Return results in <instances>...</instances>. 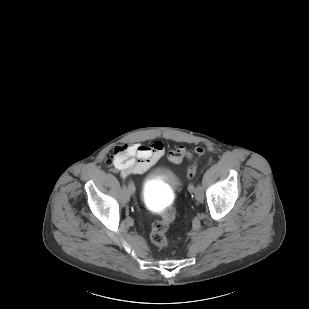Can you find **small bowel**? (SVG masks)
Wrapping results in <instances>:
<instances>
[{
    "instance_id": "c3829d8e",
    "label": "small bowel",
    "mask_w": 309,
    "mask_h": 309,
    "mask_svg": "<svg viewBox=\"0 0 309 309\" xmlns=\"http://www.w3.org/2000/svg\"><path fill=\"white\" fill-rule=\"evenodd\" d=\"M129 156L123 162H117L116 168L123 175L142 174L149 170L164 155L165 147L161 141H155L150 145L132 143L128 147ZM192 158V153L185 147H179L172 151L170 160L180 163L184 159Z\"/></svg>"
}]
</instances>
